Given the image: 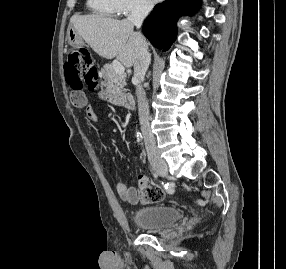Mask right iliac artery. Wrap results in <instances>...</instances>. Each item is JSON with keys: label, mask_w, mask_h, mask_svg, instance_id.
Wrapping results in <instances>:
<instances>
[{"label": "right iliac artery", "mask_w": 286, "mask_h": 269, "mask_svg": "<svg viewBox=\"0 0 286 269\" xmlns=\"http://www.w3.org/2000/svg\"><path fill=\"white\" fill-rule=\"evenodd\" d=\"M152 173H153V172H152ZM153 175H154V177H157V175H156L155 173H153ZM162 184H163V182H162ZM169 188H170V187L168 186V184H165V189L170 192L171 190H170Z\"/></svg>", "instance_id": "obj_1"}]
</instances>
